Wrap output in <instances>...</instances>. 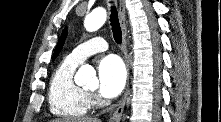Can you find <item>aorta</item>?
<instances>
[{
  "mask_svg": "<svg viewBox=\"0 0 221 122\" xmlns=\"http://www.w3.org/2000/svg\"><path fill=\"white\" fill-rule=\"evenodd\" d=\"M106 18V10L103 8H96L86 16L84 26L89 32L96 31L105 23ZM76 82L89 86L93 85L97 82L95 70L88 64L81 66L76 75Z\"/></svg>",
  "mask_w": 221,
  "mask_h": 122,
  "instance_id": "obj_1",
  "label": "aorta"
}]
</instances>
